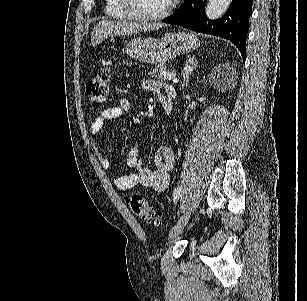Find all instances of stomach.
I'll return each mask as SVG.
<instances>
[{
    "label": "stomach",
    "mask_w": 307,
    "mask_h": 301,
    "mask_svg": "<svg viewBox=\"0 0 307 301\" xmlns=\"http://www.w3.org/2000/svg\"><path fill=\"white\" fill-rule=\"evenodd\" d=\"M199 46L193 32H166L160 38L154 36H136L125 44L123 52L139 62L164 64L178 54H186Z\"/></svg>",
    "instance_id": "obj_1"
}]
</instances>
